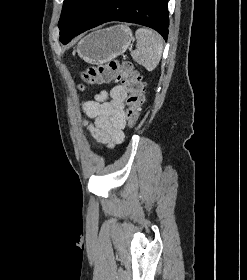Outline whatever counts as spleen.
Instances as JSON below:
<instances>
[{
	"label": "spleen",
	"mask_w": 247,
	"mask_h": 280,
	"mask_svg": "<svg viewBox=\"0 0 247 280\" xmlns=\"http://www.w3.org/2000/svg\"><path fill=\"white\" fill-rule=\"evenodd\" d=\"M135 35L136 49L131 52V56L148 71H153L162 56L163 39L157 32L147 28L137 29Z\"/></svg>",
	"instance_id": "3e777b00"
}]
</instances>
